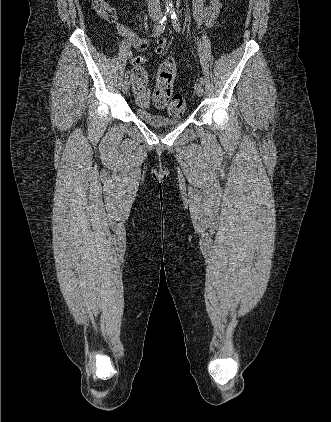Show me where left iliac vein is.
I'll return each instance as SVG.
<instances>
[{
    "instance_id": "obj_1",
    "label": "left iliac vein",
    "mask_w": 331,
    "mask_h": 422,
    "mask_svg": "<svg viewBox=\"0 0 331 422\" xmlns=\"http://www.w3.org/2000/svg\"><path fill=\"white\" fill-rule=\"evenodd\" d=\"M195 89V93L197 94V96L201 97L204 93V89L201 83H197L194 87Z\"/></svg>"
}]
</instances>
